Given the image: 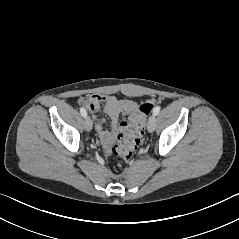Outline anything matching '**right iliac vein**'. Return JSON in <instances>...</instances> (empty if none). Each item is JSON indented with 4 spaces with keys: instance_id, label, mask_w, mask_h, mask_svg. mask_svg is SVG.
Returning <instances> with one entry per match:
<instances>
[{
    "instance_id": "1",
    "label": "right iliac vein",
    "mask_w": 239,
    "mask_h": 239,
    "mask_svg": "<svg viewBox=\"0 0 239 239\" xmlns=\"http://www.w3.org/2000/svg\"><path fill=\"white\" fill-rule=\"evenodd\" d=\"M93 124L90 117H85L84 128L86 131L90 132L92 130Z\"/></svg>"
}]
</instances>
